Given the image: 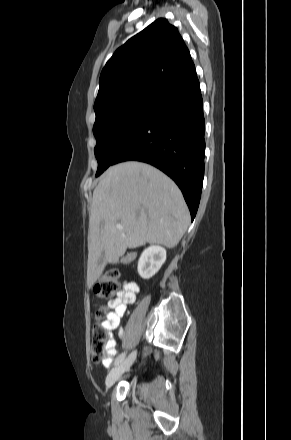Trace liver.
I'll use <instances>...</instances> for the list:
<instances>
[{"label": "liver", "instance_id": "obj_1", "mask_svg": "<svg viewBox=\"0 0 291 440\" xmlns=\"http://www.w3.org/2000/svg\"><path fill=\"white\" fill-rule=\"evenodd\" d=\"M189 222L181 191L160 170L136 161L109 167L93 191L88 286L97 281L108 263H117L127 248L145 243L175 247Z\"/></svg>", "mask_w": 291, "mask_h": 440}]
</instances>
